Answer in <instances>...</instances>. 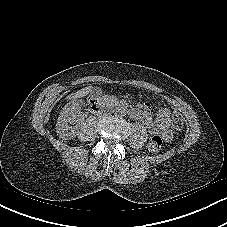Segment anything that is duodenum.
Returning a JSON list of instances; mask_svg holds the SVG:
<instances>
[{
	"label": "duodenum",
	"instance_id": "410a0bca",
	"mask_svg": "<svg viewBox=\"0 0 227 227\" xmlns=\"http://www.w3.org/2000/svg\"><path fill=\"white\" fill-rule=\"evenodd\" d=\"M104 106V102L100 97H94L90 101V107L93 112H97ZM129 114L132 118H136L138 116V112L136 110H129Z\"/></svg>",
	"mask_w": 227,
	"mask_h": 227
}]
</instances>
